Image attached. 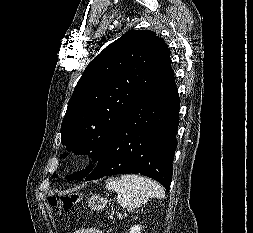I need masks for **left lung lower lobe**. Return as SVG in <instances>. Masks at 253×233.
I'll return each mask as SVG.
<instances>
[{
  "instance_id": "1",
  "label": "left lung lower lobe",
  "mask_w": 253,
  "mask_h": 233,
  "mask_svg": "<svg viewBox=\"0 0 253 233\" xmlns=\"http://www.w3.org/2000/svg\"><path fill=\"white\" fill-rule=\"evenodd\" d=\"M179 105L174 74L169 65L120 123L97 167L85 180L135 173L157 180L169 191L177 147Z\"/></svg>"
}]
</instances>
